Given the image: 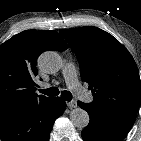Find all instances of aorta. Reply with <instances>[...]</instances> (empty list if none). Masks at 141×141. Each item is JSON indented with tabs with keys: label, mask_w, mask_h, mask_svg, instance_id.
<instances>
[{
	"label": "aorta",
	"mask_w": 141,
	"mask_h": 141,
	"mask_svg": "<svg viewBox=\"0 0 141 141\" xmlns=\"http://www.w3.org/2000/svg\"><path fill=\"white\" fill-rule=\"evenodd\" d=\"M40 69L48 74H54L61 69L62 60L55 51H46L38 58ZM70 120L78 129H84L88 126L90 118L89 114L82 108H75L70 112Z\"/></svg>",
	"instance_id": "762f6f07"
}]
</instances>
